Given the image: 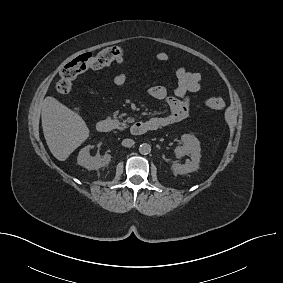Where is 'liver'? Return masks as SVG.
Masks as SVG:
<instances>
[{"label": "liver", "instance_id": "obj_1", "mask_svg": "<svg viewBox=\"0 0 283 283\" xmlns=\"http://www.w3.org/2000/svg\"><path fill=\"white\" fill-rule=\"evenodd\" d=\"M41 117L48 148L59 161H65L89 137L82 117L54 97L44 99Z\"/></svg>", "mask_w": 283, "mask_h": 283}]
</instances>
